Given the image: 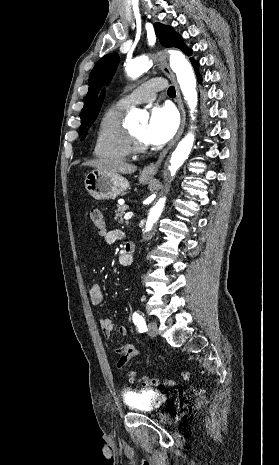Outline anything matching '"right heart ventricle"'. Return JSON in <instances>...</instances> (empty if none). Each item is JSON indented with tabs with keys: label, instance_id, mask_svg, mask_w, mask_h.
Segmentation results:
<instances>
[{
	"label": "right heart ventricle",
	"instance_id": "obj_1",
	"mask_svg": "<svg viewBox=\"0 0 279 465\" xmlns=\"http://www.w3.org/2000/svg\"><path fill=\"white\" fill-rule=\"evenodd\" d=\"M126 108L117 103L103 114L93 151L97 158L116 161L130 156L128 130L123 124Z\"/></svg>",
	"mask_w": 279,
	"mask_h": 465
}]
</instances>
